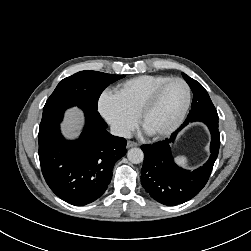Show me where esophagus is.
<instances>
[{
	"instance_id": "obj_1",
	"label": "esophagus",
	"mask_w": 251,
	"mask_h": 251,
	"mask_svg": "<svg viewBox=\"0 0 251 251\" xmlns=\"http://www.w3.org/2000/svg\"><path fill=\"white\" fill-rule=\"evenodd\" d=\"M136 146H138V143H136L134 141L127 142V148L136 147Z\"/></svg>"
}]
</instances>
